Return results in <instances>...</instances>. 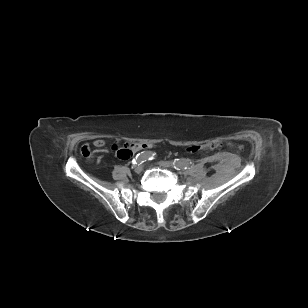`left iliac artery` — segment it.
<instances>
[{"mask_svg": "<svg viewBox=\"0 0 308 308\" xmlns=\"http://www.w3.org/2000/svg\"><path fill=\"white\" fill-rule=\"evenodd\" d=\"M172 164L177 170H185L191 166L192 162L185 159H175Z\"/></svg>", "mask_w": 308, "mask_h": 308, "instance_id": "left-iliac-artery-1", "label": "left iliac artery"}]
</instances>
